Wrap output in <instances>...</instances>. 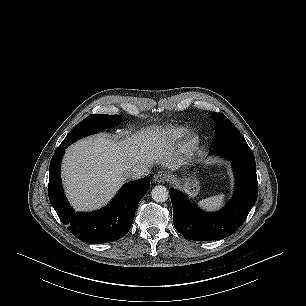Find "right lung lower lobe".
<instances>
[{
	"label": "right lung lower lobe",
	"mask_w": 306,
	"mask_h": 306,
	"mask_svg": "<svg viewBox=\"0 0 306 306\" xmlns=\"http://www.w3.org/2000/svg\"><path fill=\"white\" fill-rule=\"evenodd\" d=\"M66 146L56 150L50 163L48 194L61 222L81 241L102 244L125 236L135 216L138 203L150 188L146 177L124 185L111 203L92 213H75L69 205L61 183V160Z\"/></svg>",
	"instance_id": "right-lung-lower-lobe-1"
}]
</instances>
